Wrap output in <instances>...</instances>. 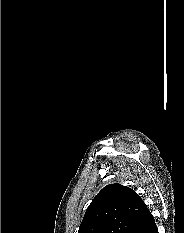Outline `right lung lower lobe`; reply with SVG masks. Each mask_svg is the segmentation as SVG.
Instances as JSON below:
<instances>
[{
    "label": "right lung lower lobe",
    "instance_id": "1",
    "mask_svg": "<svg viewBox=\"0 0 184 233\" xmlns=\"http://www.w3.org/2000/svg\"><path fill=\"white\" fill-rule=\"evenodd\" d=\"M133 233H158L157 226H156L153 216L151 215Z\"/></svg>",
    "mask_w": 184,
    "mask_h": 233
}]
</instances>
